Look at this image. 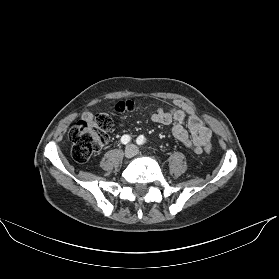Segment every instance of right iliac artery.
Here are the masks:
<instances>
[{
  "mask_svg": "<svg viewBox=\"0 0 279 279\" xmlns=\"http://www.w3.org/2000/svg\"><path fill=\"white\" fill-rule=\"evenodd\" d=\"M130 140H131V137L129 135H123L121 138V142L123 144H127L128 142H130Z\"/></svg>",
  "mask_w": 279,
  "mask_h": 279,
  "instance_id": "1",
  "label": "right iliac artery"
}]
</instances>
